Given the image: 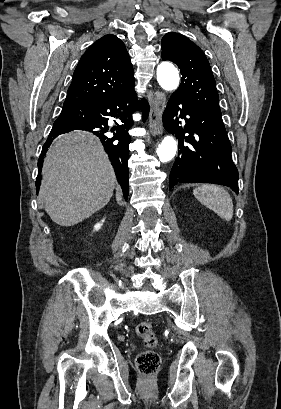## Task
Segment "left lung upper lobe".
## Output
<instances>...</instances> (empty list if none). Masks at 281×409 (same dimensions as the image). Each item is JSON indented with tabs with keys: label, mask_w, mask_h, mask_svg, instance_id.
Instances as JSON below:
<instances>
[{
	"label": "left lung upper lobe",
	"mask_w": 281,
	"mask_h": 409,
	"mask_svg": "<svg viewBox=\"0 0 281 409\" xmlns=\"http://www.w3.org/2000/svg\"><path fill=\"white\" fill-rule=\"evenodd\" d=\"M161 44L162 59L176 63L183 76L175 94L209 114L222 118L215 79L202 50L176 32L166 33Z\"/></svg>",
	"instance_id": "obj_1"
}]
</instances>
